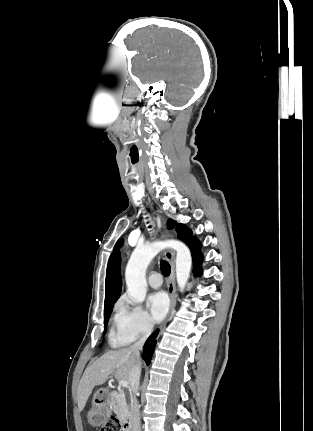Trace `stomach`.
<instances>
[{"label": "stomach", "mask_w": 313, "mask_h": 431, "mask_svg": "<svg viewBox=\"0 0 313 431\" xmlns=\"http://www.w3.org/2000/svg\"><path fill=\"white\" fill-rule=\"evenodd\" d=\"M112 394L107 389H100L95 392L92 400V409L88 413V420L94 426H100L107 422L109 416V406Z\"/></svg>", "instance_id": "1"}]
</instances>
